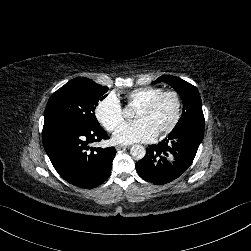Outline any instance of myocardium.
<instances>
[{"instance_id":"myocardium-1","label":"myocardium","mask_w":251,"mask_h":251,"mask_svg":"<svg viewBox=\"0 0 251 251\" xmlns=\"http://www.w3.org/2000/svg\"><path fill=\"white\" fill-rule=\"evenodd\" d=\"M166 96L174 97L176 104H177V111H176V115H175L174 119L168 125L162 127L159 130L160 133L171 132L179 125V123L182 119V115H183V100H182L180 93L176 90H164L160 94L156 95L151 100H149L148 102H146L140 106L141 108H144L147 110H152Z\"/></svg>"}]
</instances>
